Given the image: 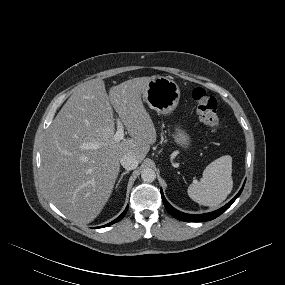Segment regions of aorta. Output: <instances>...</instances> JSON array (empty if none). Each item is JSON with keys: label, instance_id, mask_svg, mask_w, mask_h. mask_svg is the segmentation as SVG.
Listing matches in <instances>:
<instances>
[{"label": "aorta", "instance_id": "obj_1", "mask_svg": "<svg viewBox=\"0 0 285 285\" xmlns=\"http://www.w3.org/2000/svg\"><path fill=\"white\" fill-rule=\"evenodd\" d=\"M141 178L146 183H151L156 179V173L151 168H145L141 173Z\"/></svg>", "mask_w": 285, "mask_h": 285}]
</instances>
